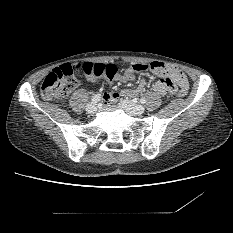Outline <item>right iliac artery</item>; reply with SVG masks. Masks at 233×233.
I'll return each mask as SVG.
<instances>
[{"label":"right iliac artery","mask_w":233,"mask_h":233,"mask_svg":"<svg viewBox=\"0 0 233 233\" xmlns=\"http://www.w3.org/2000/svg\"><path fill=\"white\" fill-rule=\"evenodd\" d=\"M100 95L99 94H97V95H94L93 97H92V102L91 103H97L98 101H100Z\"/></svg>","instance_id":"82829eb1"}]
</instances>
